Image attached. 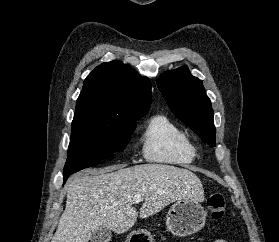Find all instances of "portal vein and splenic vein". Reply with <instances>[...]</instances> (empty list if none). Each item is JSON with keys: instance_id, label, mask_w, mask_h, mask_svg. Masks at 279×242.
<instances>
[{"instance_id": "1", "label": "portal vein and splenic vein", "mask_w": 279, "mask_h": 242, "mask_svg": "<svg viewBox=\"0 0 279 242\" xmlns=\"http://www.w3.org/2000/svg\"><path fill=\"white\" fill-rule=\"evenodd\" d=\"M142 200V197L140 195H135L133 197V203H139Z\"/></svg>"}]
</instances>
